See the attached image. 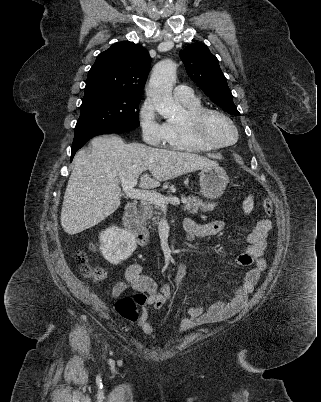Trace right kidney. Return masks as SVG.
<instances>
[{
  "label": "right kidney",
  "mask_w": 321,
  "mask_h": 402,
  "mask_svg": "<svg viewBox=\"0 0 321 402\" xmlns=\"http://www.w3.org/2000/svg\"><path fill=\"white\" fill-rule=\"evenodd\" d=\"M99 239L103 257L113 265L129 258L137 246L135 237L117 226H111L101 232Z\"/></svg>",
  "instance_id": "obj_1"
}]
</instances>
